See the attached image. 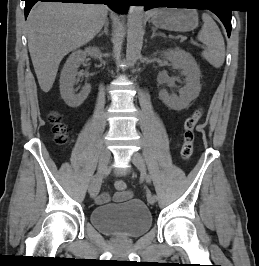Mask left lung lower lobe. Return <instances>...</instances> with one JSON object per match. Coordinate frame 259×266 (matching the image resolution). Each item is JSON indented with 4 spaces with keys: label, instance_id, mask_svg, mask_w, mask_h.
<instances>
[{
    "label": "left lung lower lobe",
    "instance_id": "left-lung-lower-lobe-1",
    "mask_svg": "<svg viewBox=\"0 0 259 266\" xmlns=\"http://www.w3.org/2000/svg\"><path fill=\"white\" fill-rule=\"evenodd\" d=\"M191 0H142L141 3L145 7V10H148L152 7H175L180 5H189L193 4L190 2ZM213 11L217 16L220 18L222 23L224 24L228 36L231 33V10L229 9H219V8H212L209 9Z\"/></svg>",
    "mask_w": 259,
    "mask_h": 266
}]
</instances>
